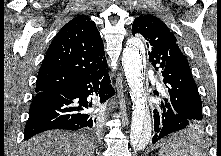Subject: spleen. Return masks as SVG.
<instances>
[{
  "label": "spleen",
  "mask_w": 221,
  "mask_h": 156,
  "mask_svg": "<svg viewBox=\"0 0 221 156\" xmlns=\"http://www.w3.org/2000/svg\"><path fill=\"white\" fill-rule=\"evenodd\" d=\"M201 154L196 146L187 143L180 137L171 139L159 151V156H201Z\"/></svg>",
  "instance_id": "spleen-1"
}]
</instances>
